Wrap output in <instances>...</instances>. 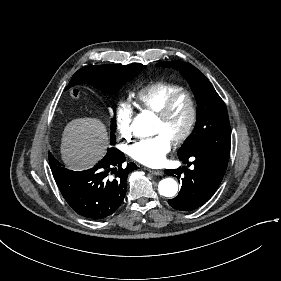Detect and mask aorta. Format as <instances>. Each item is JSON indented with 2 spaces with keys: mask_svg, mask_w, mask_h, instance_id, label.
<instances>
[{
  "mask_svg": "<svg viewBox=\"0 0 281 281\" xmlns=\"http://www.w3.org/2000/svg\"><path fill=\"white\" fill-rule=\"evenodd\" d=\"M134 134L140 137L150 136L154 133V120L149 113L138 115L133 122ZM159 193L165 197H173L178 191L177 182L173 178H165L160 181Z\"/></svg>",
  "mask_w": 281,
  "mask_h": 281,
  "instance_id": "762f6f07",
  "label": "aorta"
}]
</instances>
